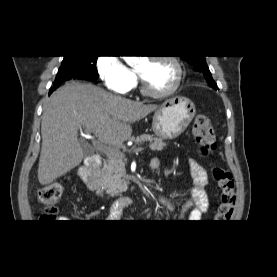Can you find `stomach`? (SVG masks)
Wrapping results in <instances>:
<instances>
[{
  "instance_id": "0dacf381",
  "label": "stomach",
  "mask_w": 277,
  "mask_h": 277,
  "mask_svg": "<svg viewBox=\"0 0 277 277\" xmlns=\"http://www.w3.org/2000/svg\"><path fill=\"white\" fill-rule=\"evenodd\" d=\"M196 114L194 103L182 96H175L164 101L155 111L152 130L160 139H175L191 123Z\"/></svg>"
}]
</instances>
